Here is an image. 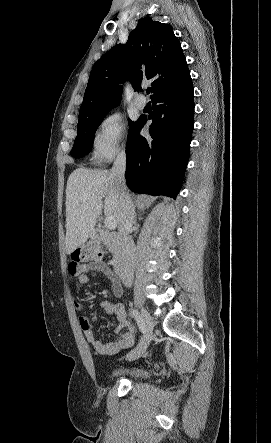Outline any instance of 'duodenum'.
I'll return each mask as SVG.
<instances>
[{
  "label": "duodenum",
  "instance_id": "410a0bca",
  "mask_svg": "<svg viewBox=\"0 0 271 443\" xmlns=\"http://www.w3.org/2000/svg\"><path fill=\"white\" fill-rule=\"evenodd\" d=\"M93 236L97 240L107 241L115 245L116 256L113 261V270L117 275L128 273L134 263V247L132 243L123 239L118 233L95 229Z\"/></svg>",
  "mask_w": 271,
  "mask_h": 443
}]
</instances>
